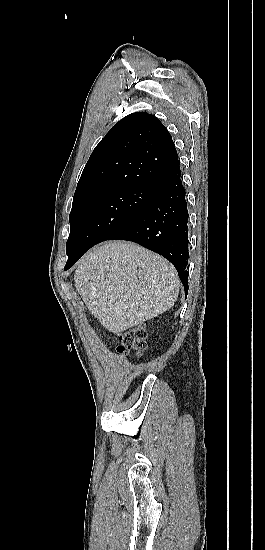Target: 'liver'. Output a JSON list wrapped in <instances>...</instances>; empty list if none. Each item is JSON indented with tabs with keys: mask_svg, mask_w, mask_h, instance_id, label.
<instances>
[{
	"mask_svg": "<svg viewBox=\"0 0 265 550\" xmlns=\"http://www.w3.org/2000/svg\"><path fill=\"white\" fill-rule=\"evenodd\" d=\"M74 282L88 310L114 334L170 309L180 288L169 261L126 241L89 250L77 265Z\"/></svg>",
	"mask_w": 265,
	"mask_h": 550,
	"instance_id": "liver-1",
	"label": "liver"
}]
</instances>
